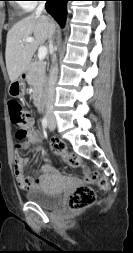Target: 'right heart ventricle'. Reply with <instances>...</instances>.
<instances>
[{
  "instance_id": "obj_1",
  "label": "right heart ventricle",
  "mask_w": 133,
  "mask_h": 253,
  "mask_svg": "<svg viewBox=\"0 0 133 253\" xmlns=\"http://www.w3.org/2000/svg\"><path fill=\"white\" fill-rule=\"evenodd\" d=\"M15 6H16V8H18V9H22V7H21L20 4H16Z\"/></svg>"
}]
</instances>
